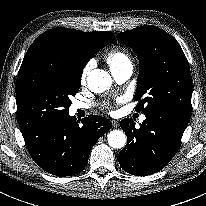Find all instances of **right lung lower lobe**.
I'll return each mask as SVG.
<instances>
[{
  "mask_svg": "<svg viewBox=\"0 0 206 206\" xmlns=\"http://www.w3.org/2000/svg\"><path fill=\"white\" fill-rule=\"evenodd\" d=\"M79 123L67 114L21 130L31 157L43 170L63 177L81 172L94 144L112 127L109 119L97 115H89Z\"/></svg>",
  "mask_w": 206,
  "mask_h": 206,
  "instance_id": "obj_1",
  "label": "right lung lower lobe"
}]
</instances>
